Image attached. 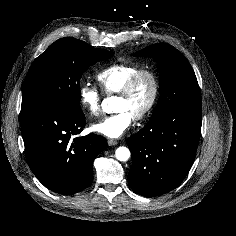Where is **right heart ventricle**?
Returning a JSON list of instances; mask_svg holds the SVG:
<instances>
[{
	"label": "right heart ventricle",
	"instance_id": "right-heart-ventricle-1",
	"mask_svg": "<svg viewBox=\"0 0 236 236\" xmlns=\"http://www.w3.org/2000/svg\"><path fill=\"white\" fill-rule=\"evenodd\" d=\"M139 69L138 64L115 63L99 71L96 79L105 95H113L117 94L130 76Z\"/></svg>",
	"mask_w": 236,
	"mask_h": 236
}]
</instances>
